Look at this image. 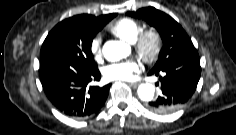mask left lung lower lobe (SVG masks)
<instances>
[{
	"label": "left lung lower lobe",
	"instance_id": "obj_1",
	"mask_svg": "<svg viewBox=\"0 0 236 135\" xmlns=\"http://www.w3.org/2000/svg\"><path fill=\"white\" fill-rule=\"evenodd\" d=\"M160 76L161 95L148 103L149 108L157 113H172L193 96L200 79L201 67L198 54L192 56L182 65H173L160 71H150L148 75ZM158 85V83H157Z\"/></svg>",
	"mask_w": 236,
	"mask_h": 135
}]
</instances>
